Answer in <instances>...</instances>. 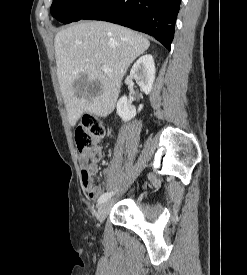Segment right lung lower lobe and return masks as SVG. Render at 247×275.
Instances as JSON below:
<instances>
[{"label":"right lung lower lobe","instance_id":"obj_1","mask_svg":"<svg viewBox=\"0 0 247 275\" xmlns=\"http://www.w3.org/2000/svg\"><path fill=\"white\" fill-rule=\"evenodd\" d=\"M181 0H103L82 19L103 20L154 36L168 50Z\"/></svg>","mask_w":247,"mask_h":275}]
</instances>
